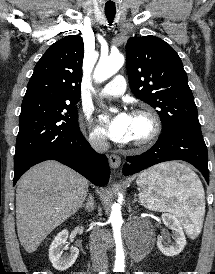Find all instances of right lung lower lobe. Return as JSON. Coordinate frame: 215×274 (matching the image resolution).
Instances as JSON below:
<instances>
[{"mask_svg":"<svg viewBox=\"0 0 215 274\" xmlns=\"http://www.w3.org/2000/svg\"><path fill=\"white\" fill-rule=\"evenodd\" d=\"M45 160H57L67 165L97 186L108 183L110 168L106 156L96 153L79 131L44 145L14 165L13 184L15 185L31 166Z\"/></svg>","mask_w":215,"mask_h":274,"instance_id":"98d812e1","label":"right lung lower lobe"}]
</instances>
